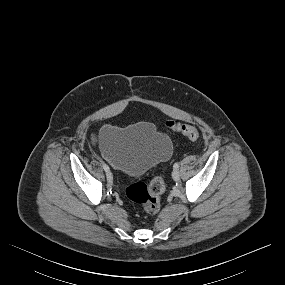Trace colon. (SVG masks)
Here are the masks:
<instances>
[{"mask_svg": "<svg viewBox=\"0 0 285 285\" xmlns=\"http://www.w3.org/2000/svg\"><path fill=\"white\" fill-rule=\"evenodd\" d=\"M166 126L191 141H196L200 137L198 129L191 125L167 121ZM164 190L163 179L155 177L148 183L137 182L130 185L126 189V196L131 202L143 206L148 213L154 214L159 210L161 195Z\"/></svg>", "mask_w": 285, "mask_h": 285, "instance_id": "obj_1", "label": "colon"}]
</instances>
